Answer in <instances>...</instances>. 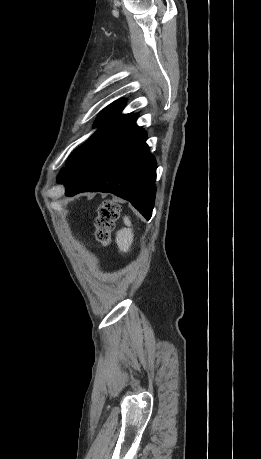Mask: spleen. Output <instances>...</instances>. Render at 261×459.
<instances>
[{
  "instance_id": "3e777b00",
  "label": "spleen",
  "mask_w": 261,
  "mask_h": 459,
  "mask_svg": "<svg viewBox=\"0 0 261 459\" xmlns=\"http://www.w3.org/2000/svg\"><path fill=\"white\" fill-rule=\"evenodd\" d=\"M123 220L127 228H123L117 232L116 243L122 252L127 253L130 251V247L133 243L134 233L131 228L132 225L129 217L125 216Z\"/></svg>"
}]
</instances>
